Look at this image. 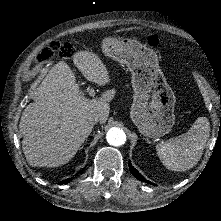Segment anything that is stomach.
I'll list each match as a JSON object with an SVG mask.
<instances>
[{"label": "stomach", "instance_id": "obj_1", "mask_svg": "<svg viewBox=\"0 0 221 221\" xmlns=\"http://www.w3.org/2000/svg\"><path fill=\"white\" fill-rule=\"evenodd\" d=\"M103 53L126 64L132 74L133 105L131 117L139 131L150 138L170 132L175 123V95L161 73L158 57L137 41L105 36Z\"/></svg>", "mask_w": 221, "mask_h": 221}]
</instances>
